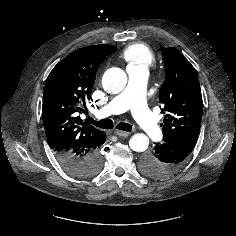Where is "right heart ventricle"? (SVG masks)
Listing matches in <instances>:
<instances>
[{"instance_id":"1","label":"right heart ventricle","mask_w":236,"mask_h":236,"mask_svg":"<svg viewBox=\"0 0 236 236\" xmlns=\"http://www.w3.org/2000/svg\"><path fill=\"white\" fill-rule=\"evenodd\" d=\"M123 59L127 62V68H150L155 63V55L152 50L143 43H134L127 46L122 52Z\"/></svg>"}]
</instances>
